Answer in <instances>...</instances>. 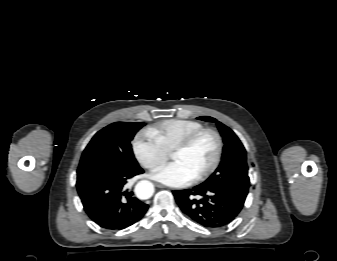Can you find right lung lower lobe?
<instances>
[{
	"label": "right lung lower lobe",
	"instance_id": "right-lung-lower-lobe-1",
	"mask_svg": "<svg viewBox=\"0 0 337 261\" xmlns=\"http://www.w3.org/2000/svg\"><path fill=\"white\" fill-rule=\"evenodd\" d=\"M143 172L138 167L77 188L87 215L108 230H121L140 220L148 205L134 197L126 184Z\"/></svg>",
	"mask_w": 337,
	"mask_h": 261
}]
</instances>
